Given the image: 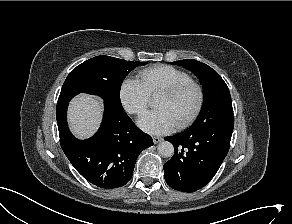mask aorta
I'll use <instances>...</instances> for the list:
<instances>
[{
    "label": "aorta",
    "instance_id": "aorta-1",
    "mask_svg": "<svg viewBox=\"0 0 292 224\" xmlns=\"http://www.w3.org/2000/svg\"><path fill=\"white\" fill-rule=\"evenodd\" d=\"M158 153L163 157H171L174 154V146L168 141H163L158 145Z\"/></svg>",
    "mask_w": 292,
    "mask_h": 224
}]
</instances>
